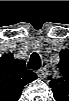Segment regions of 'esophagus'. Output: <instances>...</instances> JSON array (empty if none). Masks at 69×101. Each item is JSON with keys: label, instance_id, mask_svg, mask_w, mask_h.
I'll use <instances>...</instances> for the list:
<instances>
[{"label": "esophagus", "instance_id": "esophagus-1", "mask_svg": "<svg viewBox=\"0 0 69 101\" xmlns=\"http://www.w3.org/2000/svg\"><path fill=\"white\" fill-rule=\"evenodd\" d=\"M37 75L39 78L44 79L47 75V69L45 67L38 70Z\"/></svg>", "mask_w": 69, "mask_h": 101}]
</instances>
